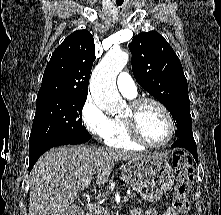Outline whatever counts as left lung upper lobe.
Segmentation results:
<instances>
[{
	"label": "left lung upper lobe",
	"instance_id": "left-lung-upper-lobe-1",
	"mask_svg": "<svg viewBox=\"0 0 221 215\" xmlns=\"http://www.w3.org/2000/svg\"><path fill=\"white\" fill-rule=\"evenodd\" d=\"M137 82L171 113L180 138H193L187 80L179 58L156 31L142 32L129 44Z\"/></svg>",
	"mask_w": 221,
	"mask_h": 215
}]
</instances>
